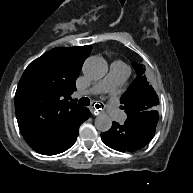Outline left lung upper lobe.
I'll use <instances>...</instances> for the list:
<instances>
[{"instance_id": "left-lung-upper-lobe-1", "label": "left lung upper lobe", "mask_w": 193, "mask_h": 193, "mask_svg": "<svg viewBox=\"0 0 193 193\" xmlns=\"http://www.w3.org/2000/svg\"><path fill=\"white\" fill-rule=\"evenodd\" d=\"M137 73V78L122 95L120 101L124 104L128 117L145 112L144 115L158 114V96L145 77V67L132 63Z\"/></svg>"}]
</instances>
